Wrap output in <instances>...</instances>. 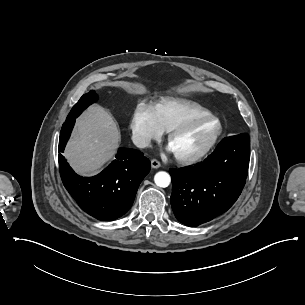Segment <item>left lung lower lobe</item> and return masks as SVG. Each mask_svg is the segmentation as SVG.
Masks as SVG:
<instances>
[{
    "mask_svg": "<svg viewBox=\"0 0 305 305\" xmlns=\"http://www.w3.org/2000/svg\"><path fill=\"white\" fill-rule=\"evenodd\" d=\"M249 159V135L243 133L223 139L200 164L170 169V202L177 220L198 226L227 211L245 185Z\"/></svg>",
    "mask_w": 305,
    "mask_h": 305,
    "instance_id": "0a47b994",
    "label": "left lung lower lobe"
}]
</instances>
